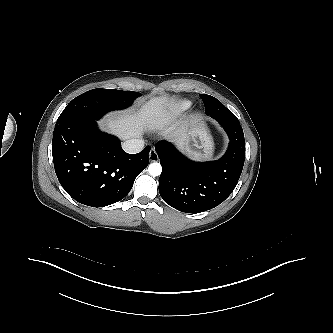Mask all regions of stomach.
<instances>
[{
    "instance_id": "stomach-1",
    "label": "stomach",
    "mask_w": 333,
    "mask_h": 333,
    "mask_svg": "<svg viewBox=\"0 0 333 333\" xmlns=\"http://www.w3.org/2000/svg\"><path fill=\"white\" fill-rule=\"evenodd\" d=\"M213 141L202 122L195 123L184 141L185 150L199 158L209 159L213 154Z\"/></svg>"
}]
</instances>
